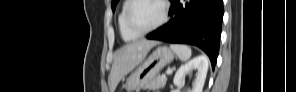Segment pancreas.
<instances>
[{"label":"pancreas","mask_w":296,"mask_h":92,"mask_svg":"<svg viewBox=\"0 0 296 92\" xmlns=\"http://www.w3.org/2000/svg\"><path fill=\"white\" fill-rule=\"evenodd\" d=\"M166 82H167V78L166 77L156 76L154 79H152L151 81H149L146 84V86L144 87V89H149V90L161 89V88L165 87Z\"/></svg>","instance_id":"pancreas-1"}]
</instances>
